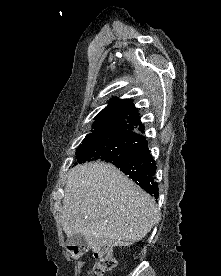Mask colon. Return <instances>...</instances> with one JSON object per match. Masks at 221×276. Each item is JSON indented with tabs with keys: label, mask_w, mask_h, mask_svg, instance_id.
<instances>
[{
	"label": "colon",
	"mask_w": 221,
	"mask_h": 276,
	"mask_svg": "<svg viewBox=\"0 0 221 276\" xmlns=\"http://www.w3.org/2000/svg\"><path fill=\"white\" fill-rule=\"evenodd\" d=\"M91 250L97 259L92 274L94 276H103L107 271L113 269L116 266V259L114 258L112 251L107 246H92L86 245H72L68 246L69 255L74 258H80L85 253Z\"/></svg>",
	"instance_id": "1"
}]
</instances>
